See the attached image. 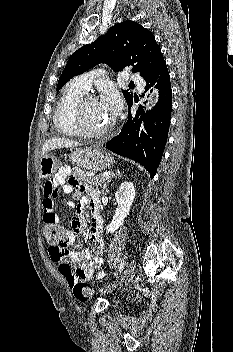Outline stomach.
Here are the masks:
<instances>
[{"label": "stomach", "instance_id": "obj_1", "mask_svg": "<svg viewBox=\"0 0 233 352\" xmlns=\"http://www.w3.org/2000/svg\"><path fill=\"white\" fill-rule=\"evenodd\" d=\"M70 160L79 167L93 172L102 171L114 163L109 154L97 147L78 149L70 155ZM60 165L59 159L55 155L45 154L40 159L39 177L42 179L51 177Z\"/></svg>", "mask_w": 233, "mask_h": 352}]
</instances>
